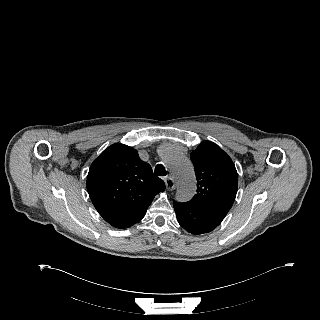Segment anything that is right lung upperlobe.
I'll list each match as a JSON object with an SVG mask.
<instances>
[{"mask_svg":"<svg viewBox=\"0 0 320 320\" xmlns=\"http://www.w3.org/2000/svg\"><path fill=\"white\" fill-rule=\"evenodd\" d=\"M87 190L100 215L113 224L145 214L165 184L136 149L116 143L91 164Z\"/></svg>","mask_w":320,"mask_h":320,"instance_id":"obj_1","label":"right lung upper lobe"}]
</instances>
